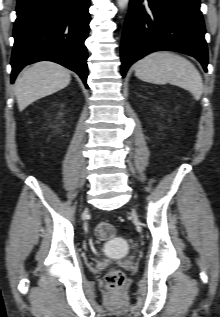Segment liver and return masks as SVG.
Segmentation results:
<instances>
[{"label":"liver","mask_w":220,"mask_h":317,"mask_svg":"<svg viewBox=\"0 0 220 317\" xmlns=\"http://www.w3.org/2000/svg\"><path fill=\"white\" fill-rule=\"evenodd\" d=\"M70 81L69 70L57 63L42 61L31 65L15 81L19 111H23L34 101L65 88Z\"/></svg>","instance_id":"6515ba94"}]
</instances>
